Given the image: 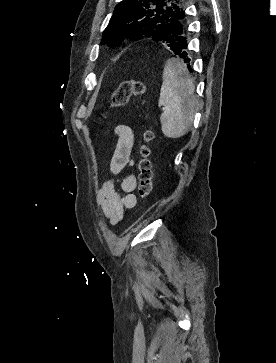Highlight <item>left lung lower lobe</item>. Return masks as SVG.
<instances>
[{
  "label": "left lung lower lobe",
  "mask_w": 276,
  "mask_h": 363,
  "mask_svg": "<svg viewBox=\"0 0 276 363\" xmlns=\"http://www.w3.org/2000/svg\"><path fill=\"white\" fill-rule=\"evenodd\" d=\"M177 30L180 35L184 33H187L188 35L186 23H182L180 26V30ZM180 35H178L174 39H170L167 46L170 47V49L176 55H179V57L183 58L184 62L187 64L188 69L192 71L189 58L190 53L188 51V40L187 38L185 39V37H181Z\"/></svg>",
  "instance_id": "0a47b994"
}]
</instances>
